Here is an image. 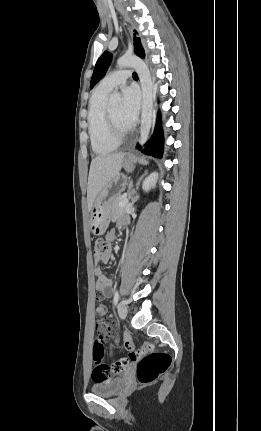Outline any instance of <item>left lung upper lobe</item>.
<instances>
[{"label":"left lung upper lobe","instance_id":"1","mask_svg":"<svg viewBox=\"0 0 261 431\" xmlns=\"http://www.w3.org/2000/svg\"><path fill=\"white\" fill-rule=\"evenodd\" d=\"M136 34H134L135 36ZM134 47H135V51L136 53L144 58L145 54H144V50L142 48V45L140 43V39L139 38H135L134 37ZM112 60V54L108 51L104 52L101 57L97 60L94 71H93V75L91 78V82H90V89L93 88V86L100 80L103 78V76L105 75L110 63Z\"/></svg>","mask_w":261,"mask_h":431}]
</instances>
